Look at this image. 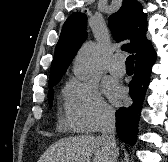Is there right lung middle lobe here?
I'll list each match as a JSON object with an SVG mask.
<instances>
[{
  "label": "right lung middle lobe",
  "mask_w": 168,
  "mask_h": 162,
  "mask_svg": "<svg viewBox=\"0 0 168 162\" xmlns=\"http://www.w3.org/2000/svg\"><path fill=\"white\" fill-rule=\"evenodd\" d=\"M58 82L59 81L51 83V84L48 85L49 86L48 101H49L50 107H52V103H53V96H54L53 86H55Z\"/></svg>",
  "instance_id": "dd1d6c3e"
}]
</instances>
